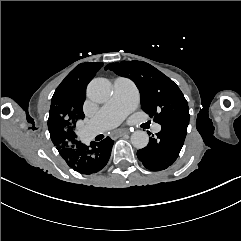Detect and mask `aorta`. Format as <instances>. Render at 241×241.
Here are the masks:
<instances>
[{
    "mask_svg": "<svg viewBox=\"0 0 241 241\" xmlns=\"http://www.w3.org/2000/svg\"><path fill=\"white\" fill-rule=\"evenodd\" d=\"M112 92L111 83L105 78L93 79L87 87L88 97L98 103L107 101ZM131 143L137 149L145 148L149 143V136L146 131L137 130L131 135Z\"/></svg>",
    "mask_w": 241,
    "mask_h": 241,
    "instance_id": "762f6f07",
    "label": "aorta"
}]
</instances>
